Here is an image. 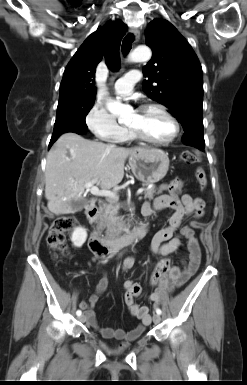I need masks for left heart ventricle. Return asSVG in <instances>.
Masks as SVG:
<instances>
[{"instance_id":"obj_1","label":"left heart ventricle","mask_w":247,"mask_h":385,"mask_svg":"<svg viewBox=\"0 0 247 385\" xmlns=\"http://www.w3.org/2000/svg\"><path fill=\"white\" fill-rule=\"evenodd\" d=\"M147 138L165 140L173 133V126L168 118L160 111H136L128 124Z\"/></svg>"}]
</instances>
